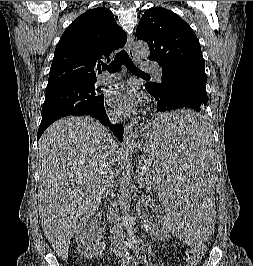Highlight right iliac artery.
Returning a JSON list of instances; mask_svg holds the SVG:
<instances>
[{
	"instance_id": "obj_1",
	"label": "right iliac artery",
	"mask_w": 253,
	"mask_h": 266,
	"mask_svg": "<svg viewBox=\"0 0 253 266\" xmlns=\"http://www.w3.org/2000/svg\"><path fill=\"white\" fill-rule=\"evenodd\" d=\"M129 260H130L129 251L126 250V251H125V255H124V257H123V259H122V262H121V266H128V264H129Z\"/></svg>"
}]
</instances>
